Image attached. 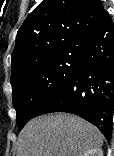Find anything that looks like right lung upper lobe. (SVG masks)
<instances>
[{"instance_id": "right-lung-upper-lobe-1", "label": "right lung upper lobe", "mask_w": 114, "mask_h": 156, "mask_svg": "<svg viewBox=\"0 0 114 156\" xmlns=\"http://www.w3.org/2000/svg\"><path fill=\"white\" fill-rule=\"evenodd\" d=\"M107 15L99 0H43L18 30L10 82L34 64L77 46Z\"/></svg>"}]
</instances>
